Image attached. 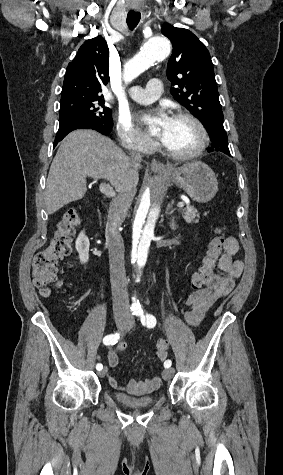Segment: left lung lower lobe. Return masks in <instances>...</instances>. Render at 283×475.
<instances>
[{"label": "left lung lower lobe", "mask_w": 283, "mask_h": 475, "mask_svg": "<svg viewBox=\"0 0 283 475\" xmlns=\"http://www.w3.org/2000/svg\"><path fill=\"white\" fill-rule=\"evenodd\" d=\"M207 132L212 141L211 147L208 149V152L219 151L231 156L227 144V134L224 130V127L220 125L208 126Z\"/></svg>", "instance_id": "0a47b994"}]
</instances>
